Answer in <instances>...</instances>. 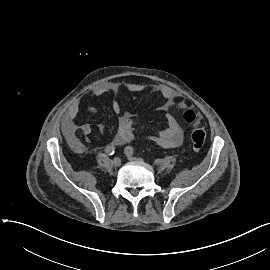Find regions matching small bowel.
Returning <instances> with one entry per match:
<instances>
[{"label": "small bowel", "mask_w": 270, "mask_h": 270, "mask_svg": "<svg viewBox=\"0 0 270 270\" xmlns=\"http://www.w3.org/2000/svg\"><path fill=\"white\" fill-rule=\"evenodd\" d=\"M143 89L144 86L141 84H131L126 87V90L130 92H138ZM121 91L122 87L119 84L106 83L104 85L96 87L91 92V95L97 97L110 93L117 96L121 93ZM152 91L165 100V104L161 107V110L168 112L175 103L177 93L173 89L165 85L155 86L152 88ZM111 109L113 113L118 115V130L113 140V143L119 146L124 145L135 139L136 134L132 114L127 111H122L121 102L116 98L111 101ZM79 113V101L73 103L66 113L64 129L66 135L69 138H74L78 133L87 136L92 132V125L90 123L78 122ZM164 120L166 124L165 128L148 134L146 138L164 148L173 149L179 147L183 141V126L170 113L166 114ZM97 128L100 132H104L105 125L103 123H98Z\"/></svg>", "instance_id": "small-bowel-1"}]
</instances>
